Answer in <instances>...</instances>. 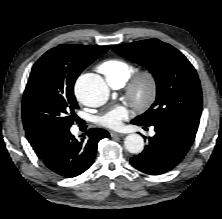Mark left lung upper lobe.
<instances>
[{"label": "left lung upper lobe", "instance_id": "1", "mask_svg": "<svg viewBox=\"0 0 222 219\" xmlns=\"http://www.w3.org/2000/svg\"><path fill=\"white\" fill-rule=\"evenodd\" d=\"M112 50L146 67L156 80V101L133 121L152 125L177 120L198 129L202 111L201 85L196 70L180 51L158 39L115 45Z\"/></svg>", "mask_w": 222, "mask_h": 219}]
</instances>
